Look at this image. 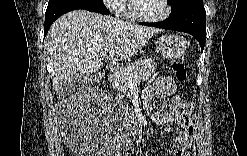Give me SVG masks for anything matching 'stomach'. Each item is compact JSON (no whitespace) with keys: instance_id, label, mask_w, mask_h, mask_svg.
<instances>
[{"instance_id":"0dacf381","label":"stomach","mask_w":247,"mask_h":156,"mask_svg":"<svg viewBox=\"0 0 247 156\" xmlns=\"http://www.w3.org/2000/svg\"><path fill=\"white\" fill-rule=\"evenodd\" d=\"M187 49V40L181 35H163L157 41V50L163 58H176Z\"/></svg>"}]
</instances>
